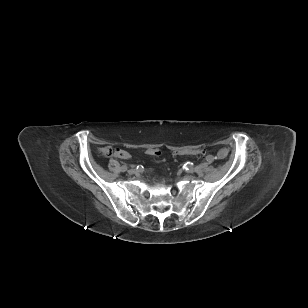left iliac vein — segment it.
<instances>
[{"instance_id": "1", "label": "left iliac vein", "mask_w": 308, "mask_h": 308, "mask_svg": "<svg viewBox=\"0 0 308 308\" xmlns=\"http://www.w3.org/2000/svg\"><path fill=\"white\" fill-rule=\"evenodd\" d=\"M194 171H195V169H194L193 167H191V168H189V169L187 170L188 173H193Z\"/></svg>"}]
</instances>
